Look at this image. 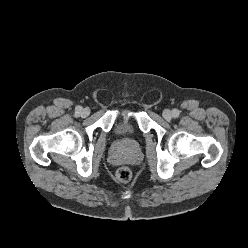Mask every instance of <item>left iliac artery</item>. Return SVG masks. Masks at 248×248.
<instances>
[{"label":"left iliac artery","mask_w":248,"mask_h":248,"mask_svg":"<svg viewBox=\"0 0 248 248\" xmlns=\"http://www.w3.org/2000/svg\"><path fill=\"white\" fill-rule=\"evenodd\" d=\"M179 114H180V112H179L178 109H174V110H173V116H174L175 118L178 117Z\"/></svg>","instance_id":"left-iliac-artery-1"}]
</instances>
